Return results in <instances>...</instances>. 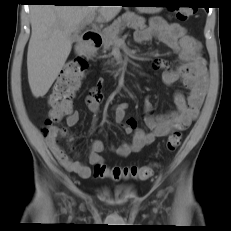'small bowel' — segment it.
I'll list each match as a JSON object with an SVG mask.
<instances>
[{"label": "small bowel", "mask_w": 231, "mask_h": 231, "mask_svg": "<svg viewBox=\"0 0 231 231\" xmlns=\"http://www.w3.org/2000/svg\"><path fill=\"white\" fill-rule=\"evenodd\" d=\"M134 39L140 44L157 39L171 48L178 57L179 65L174 69L164 70L163 82L171 86L181 81L188 93L184 95L177 92L174 95L176 109L165 114L156 115L152 105L147 102L143 114V121L147 130L138 128L137 122L133 118L125 120L128 104L118 103L114 108V120L123 126L126 134L132 135L130 142H125L114 149V152L121 157H127L131 153L141 151L145 146L152 144L156 138L164 137L173 130L186 129L199 114L207 85L206 64L200 52V44L195 38L187 34L182 25L169 23L163 18L155 17L151 19L147 28L135 33ZM153 66L154 68H165L161 61L154 62ZM101 85L102 80H99L85 100L88 109L95 115L99 111L102 100ZM79 117L78 111L71 110L66 118L67 126H75L79 122ZM95 125L96 121L93 122L92 129L95 128ZM56 138V128H53L51 133L46 136V143L55 158L67 171L88 178L91 175L90 167L70 158L58 144ZM103 149L102 141L95 140L91 143L88 158L90 165L103 163L101 156Z\"/></svg>", "instance_id": "small-bowel-1"}]
</instances>
